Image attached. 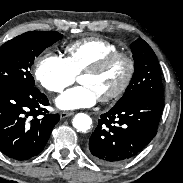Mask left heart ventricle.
<instances>
[{"label": "left heart ventricle", "instance_id": "1", "mask_svg": "<svg viewBox=\"0 0 183 183\" xmlns=\"http://www.w3.org/2000/svg\"><path fill=\"white\" fill-rule=\"evenodd\" d=\"M127 69L126 61L118 59L106 70L98 74L81 75L79 82L81 85L90 87L98 97H102L114 91L122 83Z\"/></svg>", "mask_w": 183, "mask_h": 183}]
</instances>
